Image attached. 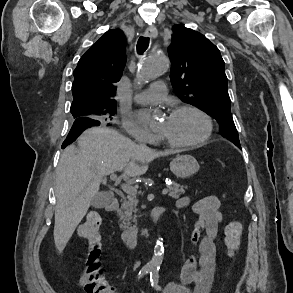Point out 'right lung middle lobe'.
Wrapping results in <instances>:
<instances>
[{
  "label": "right lung middle lobe",
  "instance_id": "right-lung-middle-lobe-1",
  "mask_svg": "<svg viewBox=\"0 0 293 293\" xmlns=\"http://www.w3.org/2000/svg\"><path fill=\"white\" fill-rule=\"evenodd\" d=\"M115 112H116L115 105H105V106H102L97 109L84 111L83 113H79L76 110H71V113H72L74 119L79 118L82 115H85L87 113H92L95 115L94 118L97 120H100L101 122L111 120L112 116L115 114Z\"/></svg>",
  "mask_w": 293,
  "mask_h": 293
}]
</instances>
